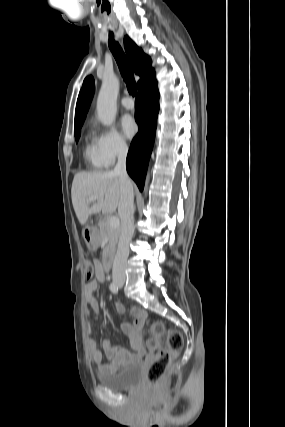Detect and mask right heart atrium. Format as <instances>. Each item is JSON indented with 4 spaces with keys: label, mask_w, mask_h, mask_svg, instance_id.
<instances>
[{
    "label": "right heart atrium",
    "mask_w": 285,
    "mask_h": 427,
    "mask_svg": "<svg viewBox=\"0 0 285 427\" xmlns=\"http://www.w3.org/2000/svg\"><path fill=\"white\" fill-rule=\"evenodd\" d=\"M99 153L105 164L112 165L117 158L127 154L128 143L115 127L101 129L95 138Z\"/></svg>",
    "instance_id": "d8ad5b80"
}]
</instances>
